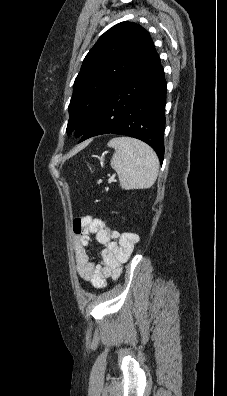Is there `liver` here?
I'll return each instance as SVG.
<instances>
[{
	"label": "liver",
	"mask_w": 227,
	"mask_h": 396,
	"mask_svg": "<svg viewBox=\"0 0 227 396\" xmlns=\"http://www.w3.org/2000/svg\"><path fill=\"white\" fill-rule=\"evenodd\" d=\"M84 146H85V145L79 146V147L75 150V152H77L78 150L82 149Z\"/></svg>",
	"instance_id": "liver-1"
}]
</instances>
